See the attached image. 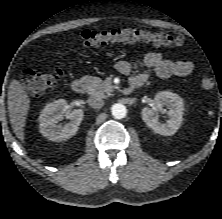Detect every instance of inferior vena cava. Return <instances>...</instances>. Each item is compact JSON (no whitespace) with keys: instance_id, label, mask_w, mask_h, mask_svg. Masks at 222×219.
<instances>
[{"instance_id":"602c4592","label":"inferior vena cava","mask_w":222,"mask_h":219,"mask_svg":"<svg viewBox=\"0 0 222 219\" xmlns=\"http://www.w3.org/2000/svg\"><path fill=\"white\" fill-rule=\"evenodd\" d=\"M88 104L93 108H101L104 105V101L101 98L91 96L88 98Z\"/></svg>"}]
</instances>
